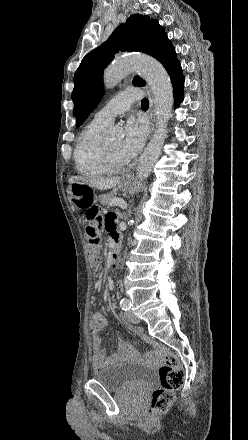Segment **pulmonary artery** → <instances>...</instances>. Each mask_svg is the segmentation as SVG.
I'll list each match as a JSON object with an SVG mask.
<instances>
[{
	"label": "pulmonary artery",
	"mask_w": 248,
	"mask_h": 440,
	"mask_svg": "<svg viewBox=\"0 0 248 440\" xmlns=\"http://www.w3.org/2000/svg\"><path fill=\"white\" fill-rule=\"evenodd\" d=\"M141 90L130 88L124 90L109 100L94 116V120L98 123L107 125L116 116L128 111L133 101L140 99Z\"/></svg>",
	"instance_id": "pulmonary-artery-1"
}]
</instances>
